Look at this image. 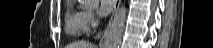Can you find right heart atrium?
<instances>
[{
    "instance_id": "1",
    "label": "right heart atrium",
    "mask_w": 213,
    "mask_h": 48,
    "mask_svg": "<svg viewBox=\"0 0 213 48\" xmlns=\"http://www.w3.org/2000/svg\"><path fill=\"white\" fill-rule=\"evenodd\" d=\"M95 15L91 10L84 11L83 22L86 27V32L90 31L92 26L95 24Z\"/></svg>"
}]
</instances>
